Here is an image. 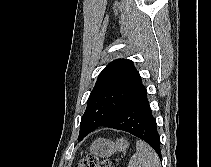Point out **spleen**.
Wrapping results in <instances>:
<instances>
[{
	"label": "spleen",
	"mask_w": 211,
	"mask_h": 167,
	"mask_svg": "<svg viewBox=\"0 0 211 167\" xmlns=\"http://www.w3.org/2000/svg\"><path fill=\"white\" fill-rule=\"evenodd\" d=\"M128 167H160L156 152L145 142L138 140L136 152L131 157Z\"/></svg>",
	"instance_id": "obj_1"
}]
</instances>
